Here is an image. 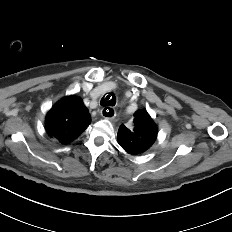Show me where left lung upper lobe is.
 Here are the masks:
<instances>
[{
	"instance_id": "obj_1",
	"label": "left lung upper lobe",
	"mask_w": 232,
	"mask_h": 232,
	"mask_svg": "<svg viewBox=\"0 0 232 232\" xmlns=\"http://www.w3.org/2000/svg\"><path fill=\"white\" fill-rule=\"evenodd\" d=\"M134 128L128 129L124 124L118 130L119 145L131 155L147 151L157 138L158 129L146 110L134 113Z\"/></svg>"
}]
</instances>
